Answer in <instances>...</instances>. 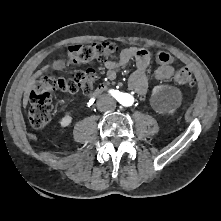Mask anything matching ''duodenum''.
Listing matches in <instances>:
<instances>
[{
  "instance_id": "410a0bca",
  "label": "duodenum",
  "mask_w": 221,
  "mask_h": 221,
  "mask_svg": "<svg viewBox=\"0 0 221 221\" xmlns=\"http://www.w3.org/2000/svg\"><path fill=\"white\" fill-rule=\"evenodd\" d=\"M107 90V87L106 86H100L98 87L95 92H94V96H99L101 95L102 93H104L105 91Z\"/></svg>"
}]
</instances>
